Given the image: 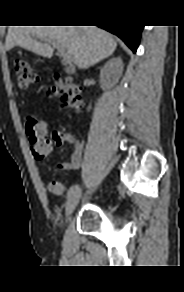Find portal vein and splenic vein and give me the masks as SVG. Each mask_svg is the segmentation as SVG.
<instances>
[{"label":"portal vein and splenic vein","instance_id":"portal-vein-and-splenic-vein-1","mask_svg":"<svg viewBox=\"0 0 184 292\" xmlns=\"http://www.w3.org/2000/svg\"><path fill=\"white\" fill-rule=\"evenodd\" d=\"M51 44L58 50L65 64L71 63L72 60L70 55L65 52V49L60 44L56 42H51Z\"/></svg>","mask_w":184,"mask_h":292}]
</instances>
